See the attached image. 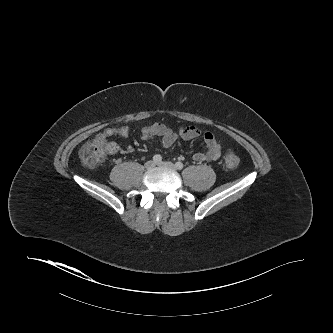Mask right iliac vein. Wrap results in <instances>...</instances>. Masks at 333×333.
I'll return each mask as SVG.
<instances>
[{
  "label": "right iliac vein",
  "mask_w": 333,
  "mask_h": 333,
  "mask_svg": "<svg viewBox=\"0 0 333 333\" xmlns=\"http://www.w3.org/2000/svg\"><path fill=\"white\" fill-rule=\"evenodd\" d=\"M155 162L154 161H152V160H149V161H147L146 163H145V167L147 168V169H152V168H154L155 167Z\"/></svg>",
  "instance_id": "63e3f726"
}]
</instances>
